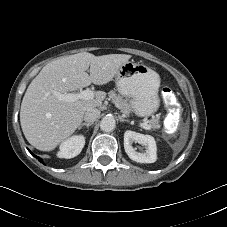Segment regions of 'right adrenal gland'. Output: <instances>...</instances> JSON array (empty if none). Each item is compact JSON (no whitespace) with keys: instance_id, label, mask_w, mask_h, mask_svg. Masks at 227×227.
Returning <instances> with one entry per match:
<instances>
[{"instance_id":"obj_1","label":"right adrenal gland","mask_w":227,"mask_h":227,"mask_svg":"<svg viewBox=\"0 0 227 227\" xmlns=\"http://www.w3.org/2000/svg\"><path fill=\"white\" fill-rule=\"evenodd\" d=\"M93 123H82L78 126V130H80L83 126H86L88 129Z\"/></svg>"}]
</instances>
